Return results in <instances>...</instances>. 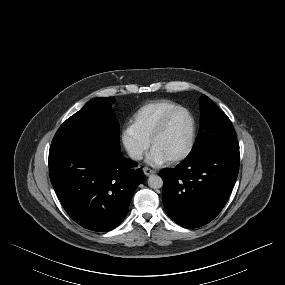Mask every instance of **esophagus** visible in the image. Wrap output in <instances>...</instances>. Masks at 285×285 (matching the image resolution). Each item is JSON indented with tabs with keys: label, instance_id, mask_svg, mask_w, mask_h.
<instances>
[{
	"label": "esophagus",
	"instance_id": "obj_1",
	"mask_svg": "<svg viewBox=\"0 0 285 285\" xmlns=\"http://www.w3.org/2000/svg\"><path fill=\"white\" fill-rule=\"evenodd\" d=\"M143 172H144V174H145L146 176H150V175H152V174L155 173V171H154L153 169H150V168H148V167H144V168H143Z\"/></svg>",
	"mask_w": 285,
	"mask_h": 285
}]
</instances>
